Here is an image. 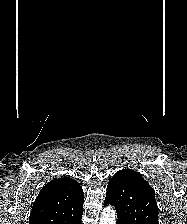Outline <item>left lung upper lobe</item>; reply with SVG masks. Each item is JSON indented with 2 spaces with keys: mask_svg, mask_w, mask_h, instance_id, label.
<instances>
[{
  "mask_svg": "<svg viewBox=\"0 0 187 224\" xmlns=\"http://www.w3.org/2000/svg\"><path fill=\"white\" fill-rule=\"evenodd\" d=\"M105 201L115 207L124 224H159L155 191L136 171L122 169L115 173Z\"/></svg>",
  "mask_w": 187,
  "mask_h": 224,
  "instance_id": "obj_1",
  "label": "left lung upper lobe"
}]
</instances>
